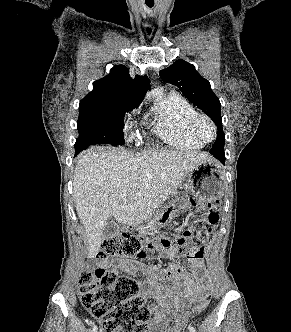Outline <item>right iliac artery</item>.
<instances>
[{
  "instance_id": "1",
  "label": "right iliac artery",
  "mask_w": 291,
  "mask_h": 332,
  "mask_svg": "<svg viewBox=\"0 0 291 332\" xmlns=\"http://www.w3.org/2000/svg\"><path fill=\"white\" fill-rule=\"evenodd\" d=\"M91 332H97V326H94L91 330Z\"/></svg>"
}]
</instances>
